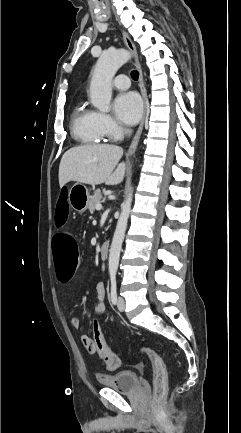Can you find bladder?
<instances>
[{"instance_id":"obj_1","label":"bladder","mask_w":241,"mask_h":433,"mask_svg":"<svg viewBox=\"0 0 241 433\" xmlns=\"http://www.w3.org/2000/svg\"><path fill=\"white\" fill-rule=\"evenodd\" d=\"M97 382L105 388L120 392H133L139 386V376L134 371H120L114 374H99Z\"/></svg>"}]
</instances>
